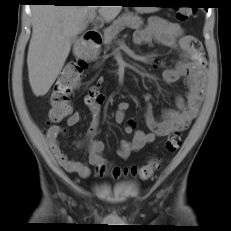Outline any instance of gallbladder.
Instances as JSON below:
<instances>
[{
    "instance_id": "1",
    "label": "gallbladder",
    "mask_w": 231,
    "mask_h": 231,
    "mask_svg": "<svg viewBox=\"0 0 231 231\" xmlns=\"http://www.w3.org/2000/svg\"><path fill=\"white\" fill-rule=\"evenodd\" d=\"M76 37L75 38H72V42L75 41Z\"/></svg>"
}]
</instances>
